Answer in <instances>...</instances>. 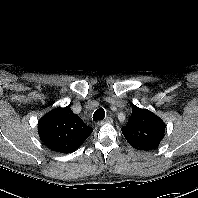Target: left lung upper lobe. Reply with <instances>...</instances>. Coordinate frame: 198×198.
I'll use <instances>...</instances> for the list:
<instances>
[{"mask_svg":"<svg viewBox=\"0 0 198 198\" xmlns=\"http://www.w3.org/2000/svg\"><path fill=\"white\" fill-rule=\"evenodd\" d=\"M164 122L147 109L133 106L132 114L122 133L128 143L137 150L156 149L165 132Z\"/></svg>","mask_w":198,"mask_h":198,"instance_id":"left-lung-upper-lobe-1","label":"left lung upper lobe"}]
</instances>
